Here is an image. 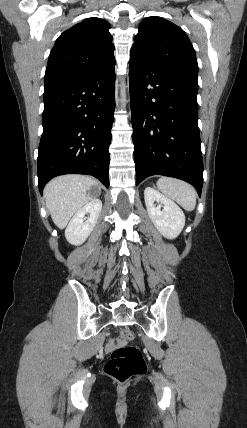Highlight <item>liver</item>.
I'll return each mask as SVG.
<instances>
[{
  "instance_id": "6515ba94",
  "label": "liver",
  "mask_w": 247,
  "mask_h": 428,
  "mask_svg": "<svg viewBox=\"0 0 247 428\" xmlns=\"http://www.w3.org/2000/svg\"><path fill=\"white\" fill-rule=\"evenodd\" d=\"M95 187L100 192L99 183L84 175H65L52 179L44 189L46 207L59 229H64L71 217L89 203L93 196L87 193Z\"/></svg>"
}]
</instances>
